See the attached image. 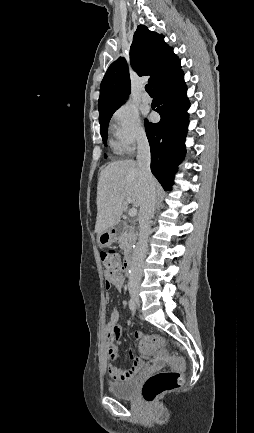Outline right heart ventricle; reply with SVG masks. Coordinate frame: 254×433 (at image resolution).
Wrapping results in <instances>:
<instances>
[{"label": "right heart ventricle", "mask_w": 254, "mask_h": 433, "mask_svg": "<svg viewBox=\"0 0 254 433\" xmlns=\"http://www.w3.org/2000/svg\"><path fill=\"white\" fill-rule=\"evenodd\" d=\"M111 144H112L113 146H116L114 142H111Z\"/></svg>", "instance_id": "1"}]
</instances>
